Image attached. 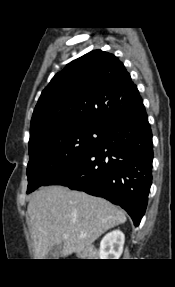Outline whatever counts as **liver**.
<instances>
[{
  "instance_id": "liver-1",
  "label": "liver",
  "mask_w": 175,
  "mask_h": 287,
  "mask_svg": "<svg viewBox=\"0 0 175 287\" xmlns=\"http://www.w3.org/2000/svg\"><path fill=\"white\" fill-rule=\"evenodd\" d=\"M35 259L63 242L62 257L80 253L107 230L126 222L122 210L105 199L63 186L41 188L28 204Z\"/></svg>"
}]
</instances>
